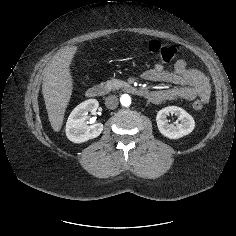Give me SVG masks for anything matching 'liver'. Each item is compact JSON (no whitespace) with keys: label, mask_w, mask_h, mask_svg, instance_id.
<instances>
[{"label":"liver","mask_w":236,"mask_h":236,"mask_svg":"<svg viewBox=\"0 0 236 236\" xmlns=\"http://www.w3.org/2000/svg\"><path fill=\"white\" fill-rule=\"evenodd\" d=\"M78 47L59 51L44 69L42 93L52 129L61 130L65 110L73 91L70 65Z\"/></svg>","instance_id":"liver-1"}]
</instances>
